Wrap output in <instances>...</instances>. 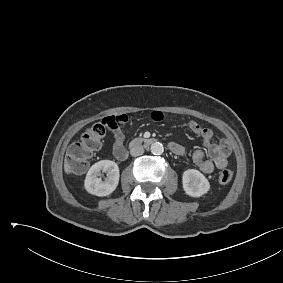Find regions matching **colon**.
I'll return each instance as SVG.
<instances>
[{"mask_svg": "<svg viewBox=\"0 0 283 283\" xmlns=\"http://www.w3.org/2000/svg\"><path fill=\"white\" fill-rule=\"evenodd\" d=\"M106 127L103 122L93 125L71 146L68 154V166L71 172L81 173L87 169L91 157L101 148ZM232 178L233 172L230 169H224L218 175L221 184H228Z\"/></svg>", "mask_w": 283, "mask_h": 283, "instance_id": "5ec220e1", "label": "colon"}]
</instances>
